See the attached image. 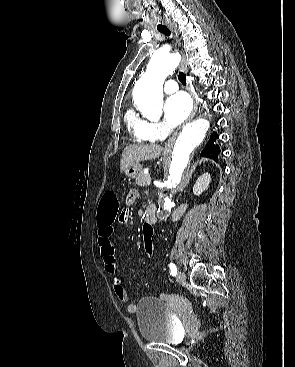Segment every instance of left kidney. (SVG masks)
<instances>
[{
	"label": "left kidney",
	"instance_id": "1",
	"mask_svg": "<svg viewBox=\"0 0 295 367\" xmlns=\"http://www.w3.org/2000/svg\"><path fill=\"white\" fill-rule=\"evenodd\" d=\"M210 182H211L210 174L205 173V174L201 175L197 179V181H196V183L193 187L194 195H196V196L201 195L205 190L208 189Z\"/></svg>",
	"mask_w": 295,
	"mask_h": 367
}]
</instances>
